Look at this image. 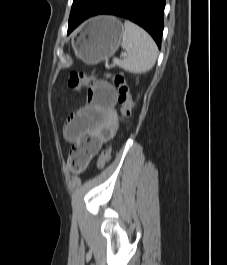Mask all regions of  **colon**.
<instances>
[{
	"mask_svg": "<svg viewBox=\"0 0 227 265\" xmlns=\"http://www.w3.org/2000/svg\"><path fill=\"white\" fill-rule=\"evenodd\" d=\"M105 78L111 80L117 89L118 103L120 105L117 119L125 123L131 115L133 107L131 91L127 80L122 75H106ZM95 80V77L82 72H71L67 79V87L72 91L78 92L84 87L91 86ZM111 152L112 145L107 146L102 151L97 162L99 169L104 168L109 162ZM68 164L72 170H81L86 165V156L77 147H73L69 155Z\"/></svg>",
	"mask_w": 227,
	"mask_h": 265,
	"instance_id": "1",
	"label": "colon"
}]
</instances>
